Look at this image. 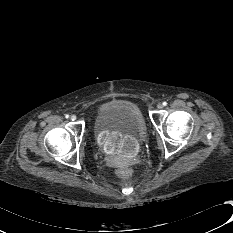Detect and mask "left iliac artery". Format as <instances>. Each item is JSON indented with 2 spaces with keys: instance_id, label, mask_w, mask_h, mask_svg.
<instances>
[{
  "instance_id": "1",
  "label": "left iliac artery",
  "mask_w": 233,
  "mask_h": 233,
  "mask_svg": "<svg viewBox=\"0 0 233 233\" xmlns=\"http://www.w3.org/2000/svg\"><path fill=\"white\" fill-rule=\"evenodd\" d=\"M163 105H164V106H166V105H167V102H166V101H164V102H163Z\"/></svg>"
}]
</instances>
